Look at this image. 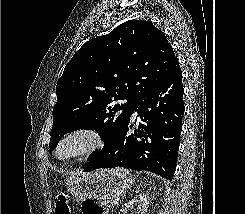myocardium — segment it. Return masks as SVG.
<instances>
[{
    "label": "myocardium",
    "instance_id": "myocardium-1",
    "mask_svg": "<svg viewBox=\"0 0 245 214\" xmlns=\"http://www.w3.org/2000/svg\"><path fill=\"white\" fill-rule=\"evenodd\" d=\"M75 137L84 138L86 139L87 143L79 151L67 156H62L60 154L62 146ZM103 145L104 137L98 130L91 127H78L70 130L60 138L55 147L54 154L56 158L61 161H76L93 155L99 151Z\"/></svg>",
    "mask_w": 245,
    "mask_h": 214
}]
</instances>
